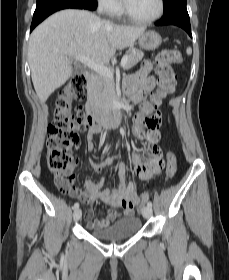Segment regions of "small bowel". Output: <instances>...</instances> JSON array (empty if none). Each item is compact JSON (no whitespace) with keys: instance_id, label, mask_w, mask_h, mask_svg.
Segmentation results:
<instances>
[{"instance_id":"c3829d8e","label":"small bowel","mask_w":229,"mask_h":280,"mask_svg":"<svg viewBox=\"0 0 229 280\" xmlns=\"http://www.w3.org/2000/svg\"><path fill=\"white\" fill-rule=\"evenodd\" d=\"M151 70L152 66L149 63L143 64L139 71L127 76L126 81L123 85L124 92L127 98L131 101L140 100L143 93L151 90L156 85H158V89L153 95V103L150 105L143 103L142 105L140 114L146 116H151L152 110L154 108H157L161 104L162 99L172 92L168 91L166 87L162 86L160 81H157L150 74ZM175 81L176 80H174L173 85H175ZM155 114L159 115L161 118V114L159 112H156ZM98 133L99 131L94 129H91L88 132L87 140L89 152L94 149L93 139L94 136ZM145 138L147 146L139 147L134 153L132 160L133 173L140 180H150L153 178V172L148 170V163L145 161V159L147 147L155 146L160 138V131L158 127L149 129L145 135ZM119 159L120 157L118 155H112L110 157H107L100 163H95L90 160L92 167L98 172H103L106 168L113 165L118 167V176L121 181L117 189L109 190L103 187L102 182L96 183L90 179H86L83 182L82 189H75L69 192L72 197L89 206L84 214L85 220L87 221V227L89 229H101L108 227L118 217L117 211L114 209H110L105 218L92 220L94 211L91 207V204L95 201H101L105 205L112 208H121L123 216L134 215V207L129 206L126 202L130 199L137 198L135 184L133 182H130L128 184L125 183L126 170L119 163ZM68 171L70 172V179L74 181L76 179V176L72 174L73 167L71 166Z\"/></svg>"}]
</instances>
